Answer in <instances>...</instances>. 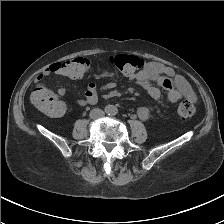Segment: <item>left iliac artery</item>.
I'll return each mask as SVG.
<instances>
[{
	"label": "left iliac artery",
	"mask_w": 224,
	"mask_h": 224,
	"mask_svg": "<svg viewBox=\"0 0 224 224\" xmlns=\"http://www.w3.org/2000/svg\"><path fill=\"white\" fill-rule=\"evenodd\" d=\"M113 114L114 115L117 114V110L116 109L113 110Z\"/></svg>",
	"instance_id": "left-iliac-artery-1"
}]
</instances>
